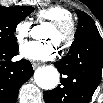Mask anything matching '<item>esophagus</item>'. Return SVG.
Returning <instances> with one entry per match:
<instances>
[{
    "label": "esophagus",
    "mask_w": 103,
    "mask_h": 103,
    "mask_svg": "<svg viewBox=\"0 0 103 103\" xmlns=\"http://www.w3.org/2000/svg\"><path fill=\"white\" fill-rule=\"evenodd\" d=\"M31 64H32V66H33L34 69L37 68V67H39L41 65V63L38 62V61H32Z\"/></svg>",
    "instance_id": "34e87169"
}]
</instances>
